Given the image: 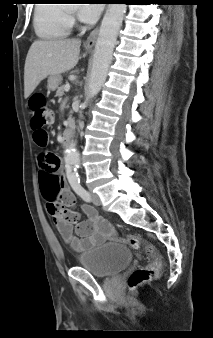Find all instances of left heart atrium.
I'll list each match as a JSON object with an SVG mask.
<instances>
[{"mask_svg": "<svg viewBox=\"0 0 213 338\" xmlns=\"http://www.w3.org/2000/svg\"><path fill=\"white\" fill-rule=\"evenodd\" d=\"M101 10L102 5L84 4L79 12L80 19L87 23L95 22L99 18Z\"/></svg>", "mask_w": 213, "mask_h": 338, "instance_id": "left-heart-atrium-1", "label": "left heart atrium"}]
</instances>
